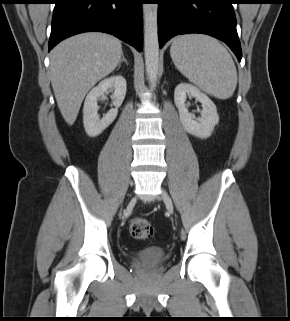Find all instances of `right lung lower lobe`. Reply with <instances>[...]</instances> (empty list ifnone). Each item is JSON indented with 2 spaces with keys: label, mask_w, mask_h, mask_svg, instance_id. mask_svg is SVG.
Here are the masks:
<instances>
[{
  "label": "right lung lower lobe",
  "mask_w": 290,
  "mask_h": 321,
  "mask_svg": "<svg viewBox=\"0 0 290 321\" xmlns=\"http://www.w3.org/2000/svg\"><path fill=\"white\" fill-rule=\"evenodd\" d=\"M144 0H55L49 50L72 35L99 31L142 50Z\"/></svg>",
  "instance_id": "1"
}]
</instances>
